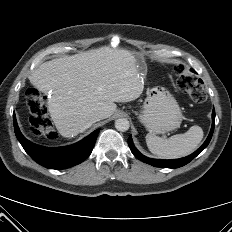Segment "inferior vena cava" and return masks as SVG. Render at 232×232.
<instances>
[{"instance_id":"obj_1","label":"inferior vena cava","mask_w":232,"mask_h":232,"mask_svg":"<svg viewBox=\"0 0 232 232\" xmlns=\"http://www.w3.org/2000/svg\"><path fill=\"white\" fill-rule=\"evenodd\" d=\"M100 119H102V116L100 114H92L90 116V121H89V125H91L92 123L99 121Z\"/></svg>"}]
</instances>
